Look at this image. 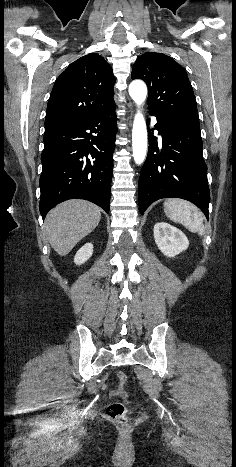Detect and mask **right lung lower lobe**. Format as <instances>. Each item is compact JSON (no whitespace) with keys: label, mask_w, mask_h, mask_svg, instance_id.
<instances>
[{"label":"right lung lower lobe","mask_w":236,"mask_h":467,"mask_svg":"<svg viewBox=\"0 0 236 467\" xmlns=\"http://www.w3.org/2000/svg\"><path fill=\"white\" fill-rule=\"evenodd\" d=\"M115 109L113 105L84 122L44 134L39 204L43 218L58 203L73 198L109 212Z\"/></svg>","instance_id":"98d812e1"}]
</instances>
